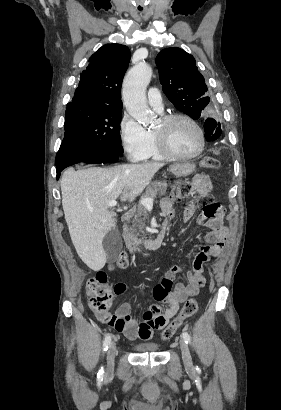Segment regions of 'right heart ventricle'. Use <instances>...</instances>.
I'll return each instance as SVG.
<instances>
[{"instance_id":"1","label":"right heart ventricle","mask_w":281,"mask_h":410,"mask_svg":"<svg viewBox=\"0 0 281 410\" xmlns=\"http://www.w3.org/2000/svg\"><path fill=\"white\" fill-rule=\"evenodd\" d=\"M165 156L160 152L153 132H149V142L147 148L140 160H164Z\"/></svg>"}]
</instances>
